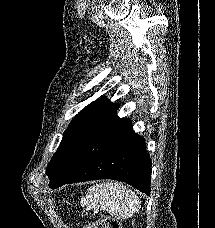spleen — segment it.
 <instances>
[{
    "label": "spleen",
    "mask_w": 215,
    "mask_h": 228,
    "mask_svg": "<svg viewBox=\"0 0 215 228\" xmlns=\"http://www.w3.org/2000/svg\"><path fill=\"white\" fill-rule=\"evenodd\" d=\"M81 204L94 212H109L117 220L132 218L140 208L136 194L128 190L122 182H101L91 186Z\"/></svg>",
    "instance_id": "1"
}]
</instances>
